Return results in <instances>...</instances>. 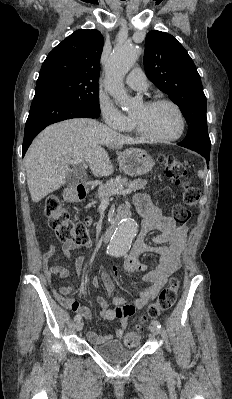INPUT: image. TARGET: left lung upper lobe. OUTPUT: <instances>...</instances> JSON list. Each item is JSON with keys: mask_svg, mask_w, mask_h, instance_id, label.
I'll return each mask as SVG.
<instances>
[{"mask_svg": "<svg viewBox=\"0 0 232 399\" xmlns=\"http://www.w3.org/2000/svg\"><path fill=\"white\" fill-rule=\"evenodd\" d=\"M146 75L181 109L188 133L180 146L195 152H210L206 96L200 75L185 48L172 35L151 31L145 39Z\"/></svg>", "mask_w": 232, "mask_h": 399, "instance_id": "5c2ea615", "label": "left lung upper lobe"}]
</instances>
